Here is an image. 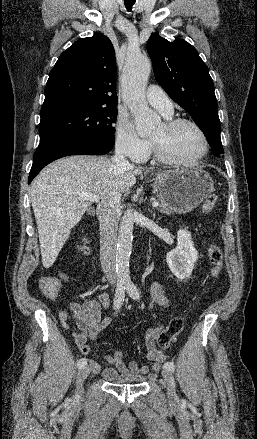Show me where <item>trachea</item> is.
Here are the masks:
<instances>
[{
    "instance_id": "1",
    "label": "trachea",
    "mask_w": 257,
    "mask_h": 439,
    "mask_svg": "<svg viewBox=\"0 0 257 439\" xmlns=\"http://www.w3.org/2000/svg\"><path fill=\"white\" fill-rule=\"evenodd\" d=\"M136 0H124L125 6L128 11L132 9V6L135 4Z\"/></svg>"
}]
</instances>
